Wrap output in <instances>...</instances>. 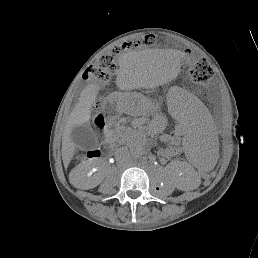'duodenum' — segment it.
<instances>
[{"mask_svg":"<svg viewBox=\"0 0 258 258\" xmlns=\"http://www.w3.org/2000/svg\"><path fill=\"white\" fill-rule=\"evenodd\" d=\"M88 154H89V156H94V157H98L99 156L98 151H90Z\"/></svg>","mask_w":258,"mask_h":258,"instance_id":"410a0bca","label":"duodenum"}]
</instances>
